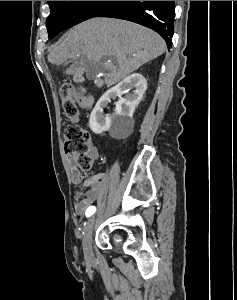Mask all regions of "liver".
Masks as SVG:
<instances>
[{
	"mask_svg": "<svg viewBox=\"0 0 237 300\" xmlns=\"http://www.w3.org/2000/svg\"><path fill=\"white\" fill-rule=\"evenodd\" d=\"M61 41L48 55L51 65H63L72 59L73 65L65 71L66 75H83L88 65L96 61L98 71H109L104 81H99V85L106 83L108 87L166 51L165 41L151 29L101 17L76 25Z\"/></svg>",
	"mask_w": 237,
	"mask_h": 300,
	"instance_id": "liver-1",
	"label": "liver"
}]
</instances>
